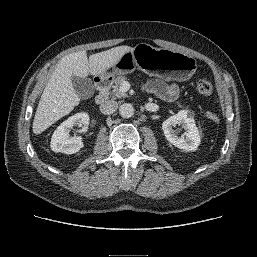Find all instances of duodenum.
<instances>
[{"label": "duodenum", "mask_w": 257, "mask_h": 257, "mask_svg": "<svg viewBox=\"0 0 257 257\" xmlns=\"http://www.w3.org/2000/svg\"><path fill=\"white\" fill-rule=\"evenodd\" d=\"M110 84L111 79L109 78H98L96 80V87L98 90L96 102L98 104H103L107 100Z\"/></svg>", "instance_id": "obj_1"}]
</instances>
